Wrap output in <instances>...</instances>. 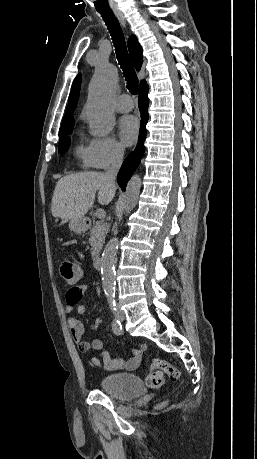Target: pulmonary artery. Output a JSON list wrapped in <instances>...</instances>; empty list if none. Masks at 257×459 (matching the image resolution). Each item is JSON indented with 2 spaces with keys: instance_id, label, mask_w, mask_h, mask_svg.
I'll list each match as a JSON object with an SVG mask.
<instances>
[{
  "instance_id": "e3ab8cb5",
  "label": "pulmonary artery",
  "mask_w": 257,
  "mask_h": 459,
  "mask_svg": "<svg viewBox=\"0 0 257 459\" xmlns=\"http://www.w3.org/2000/svg\"><path fill=\"white\" fill-rule=\"evenodd\" d=\"M134 106L131 97L127 94H122L114 102V107L119 112H128Z\"/></svg>"
}]
</instances>
